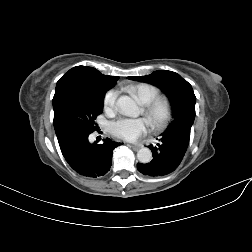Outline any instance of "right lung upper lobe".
Returning a JSON list of instances; mask_svg holds the SVG:
<instances>
[{
    "label": "right lung upper lobe",
    "mask_w": 252,
    "mask_h": 252,
    "mask_svg": "<svg viewBox=\"0 0 252 252\" xmlns=\"http://www.w3.org/2000/svg\"><path fill=\"white\" fill-rule=\"evenodd\" d=\"M119 77L101 74L97 69L87 66H76L64 74L57 82L55 95L66 87L88 89H111ZM61 136H57L60 138Z\"/></svg>",
    "instance_id": "obj_1"
}]
</instances>
